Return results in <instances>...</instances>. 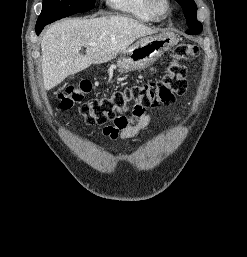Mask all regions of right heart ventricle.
I'll use <instances>...</instances> for the list:
<instances>
[{"mask_svg": "<svg viewBox=\"0 0 247 257\" xmlns=\"http://www.w3.org/2000/svg\"><path fill=\"white\" fill-rule=\"evenodd\" d=\"M106 3L111 9L141 22L157 21L149 10V0H106Z\"/></svg>", "mask_w": 247, "mask_h": 257, "instance_id": "e07e8e85", "label": "right heart ventricle"}]
</instances>
